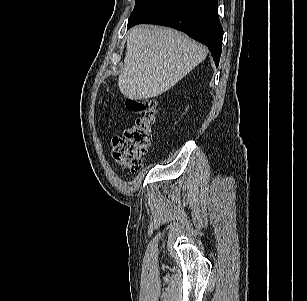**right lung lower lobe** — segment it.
I'll return each mask as SVG.
<instances>
[{
	"mask_svg": "<svg viewBox=\"0 0 307 301\" xmlns=\"http://www.w3.org/2000/svg\"><path fill=\"white\" fill-rule=\"evenodd\" d=\"M217 0H166L155 9L128 24L127 29L139 23L173 27L205 44L219 64L223 29L218 17Z\"/></svg>",
	"mask_w": 307,
	"mask_h": 301,
	"instance_id": "98d812e1",
	"label": "right lung lower lobe"
}]
</instances>
